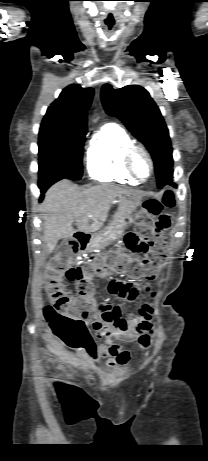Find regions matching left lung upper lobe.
I'll return each instance as SVG.
<instances>
[{
  "label": "left lung upper lobe",
  "mask_w": 208,
  "mask_h": 461,
  "mask_svg": "<svg viewBox=\"0 0 208 461\" xmlns=\"http://www.w3.org/2000/svg\"><path fill=\"white\" fill-rule=\"evenodd\" d=\"M101 98L106 112L120 119L152 155L158 187L173 178L172 147L161 112L148 91L139 85L113 89L102 87Z\"/></svg>",
  "instance_id": "left-lung-upper-lobe-1"
}]
</instances>
